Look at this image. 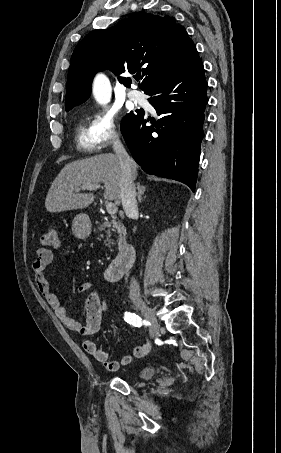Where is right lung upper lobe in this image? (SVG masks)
I'll list each match as a JSON object with an SVG mask.
<instances>
[{"mask_svg":"<svg viewBox=\"0 0 281 453\" xmlns=\"http://www.w3.org/2000/svg\"><path fill=\"white\" fill-rule=\"evenodd\" d=\"M196 52L185 28L170 16L142 11L114 27L94 30L72 54L66 111L89 98L93 76L100 70L109 69L115 75L141 71L139 87L145 91ZM119 81L131 86L130 78L119 77Z\"/></svg>","mask_w":281,"mask_h":453,"instance_id":"1","label":"right lung upper lobe"}]
</instances>
